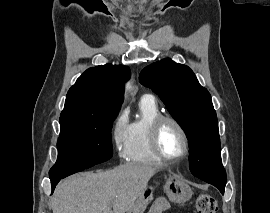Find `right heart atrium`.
Wrapping results in <instances>:
<instances>
[{"mask_svg":"<svg viewBox=\"0 0 270 213\" xmlns=\"http://www.w3.org/2000/svg\"><path fill=\"white\" fill-rule=\"evenodd\" d=\"M128 119L125 111L116 116L111 129V141L116 153L123 158L127 145Z\"/></svg>","mask_w":270,"mask_h":213,"instance_id":"d8ad5b80","label":"right heart atrium"}]
</instances>
